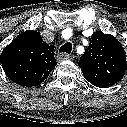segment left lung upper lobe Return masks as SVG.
<instances>
[{"label":"left lung upper lobe","instance_id":"5c2ea615","mask_svg":"<svg viewBox=\"0 0 127 127\" xmlns=\"http://www.w3.org/2000/svg\"><path fill=\"white\" fill-rule=\"evenodd\" d=\"M78 66L88 82L106 88L124 76L127 68L125 51L114 36L94 33Z\"/></svg>","mask_w":127,"mask_h":127}]
</instances>
